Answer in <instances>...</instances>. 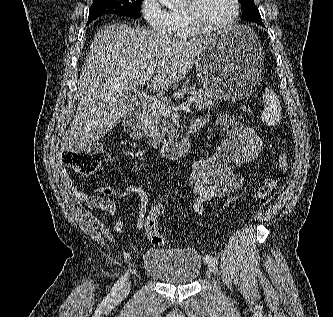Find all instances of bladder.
Here are the masks:
<instances>
[{"mask_svg":"<svg viewBox=\"0 0 333 317\" xmlns=\"http://www.w3.org/2000/svg\"><path fill=\"white\" fill-rule=\"evenodd\" d=\"M147 275L174 285L194 283L201 275V255L191 248H148L143 256Z\"/></svg>","mask_w":333,"mask_h":317,"instance_id":"bladder-1","label":"bladder"}]
</instances>
